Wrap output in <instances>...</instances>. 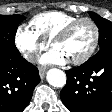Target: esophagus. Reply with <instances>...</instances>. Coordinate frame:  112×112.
<instances>
[{
  "mask_svg": "<svg viewBox=\"0 0 112 112\" xmlns=\"http://www.w3.org/2000/svg\"><path fill=\"white\" fill-rule=\"evenodd\" d=\"M46 69L45 68H40L39 69V75L40 78L43 79L45 77Z\"/></svg>",
  "mask_w": 112,
  "mask_h": 112,
  "instance_id": "esophagus-1",
  "label": "esophagus"
}]
</instances>
